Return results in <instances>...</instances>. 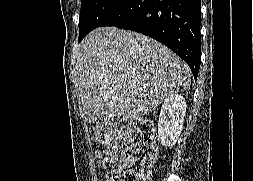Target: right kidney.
I'll return each mask as SVG.
<instances>
[{
    "mask_svg": "<svg viewBox=\"0 0 253 181\" xmlns=\"http://www.w3.org/2000/svg\"><path fill=\"white\" fill-rule=\"evenodd\" d=\"M185 114L186 101L181 95L172 94L164 100L158 121V134L163 146L170 147L177 142Z\"/></svg>",
    "mask_w": 253,
    "mask_h": 181,
    "instance_id": "right-kidney-1",
    "label": "right kidney"
}]
</instances>
